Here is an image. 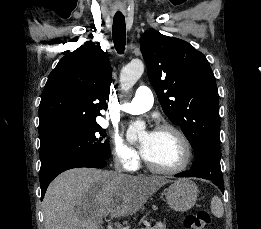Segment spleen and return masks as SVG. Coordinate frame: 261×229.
Returning a JSON list of instances; mask_svg holds the SVG:
<instances>
[{
    "mask_svg": "<svg viewBox=\"0 0 261 229\" xmlns=\"http://www.w3.org/2000/svg\"><path fill=\"white\" fill-rule=\"evenodd\" d=\"M211 213H213L214 217H223L224 215V207L221 199L219 197H213L211 201Z\"/></svg>",
    "mask_w": 261,
    "mask_h": 229,
    "instance_id": "obj_1",
    "label": "spleen"
}]
</instances>
